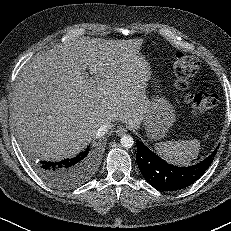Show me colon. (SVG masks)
Here are the masks:
<instances>
[{
	"label": "colon",
	"mask_w": 231,
	"mask_h": 231,
	"mask_svg": "<svg viewBox=\"0 0 231 231\" xmlns=\"http://www.w3.org/2000/svg\"><path fill=\"white\" fill-rule=\"evenodd\" d=\"M201 65L195 56L178 54L174 62L175 84L178 89L189 87L191 78L197 73ZM218 102L216 94L212 92H199L186 97V103L196 114L213 109Z\"/></svg>",
	"instance_id": "1"
}]
</instances>
